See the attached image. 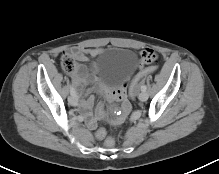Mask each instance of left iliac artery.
<instances>
[{
    "instance_id": "obj_1",
    "label": "left iliac artery",
    "mask_w": 219,
    "mask_h": 174,
    "mask_svg": "<svg viewBox=\"0 0 219 174\" xmlns=\"http://www.w3.org/2000/svg\"><path fill=\"white\" fill-rule=\"evenodd\" d=\"M146 89H147L146 85L141 86V91H146Z\"/></svg>"
}]
</instances>
